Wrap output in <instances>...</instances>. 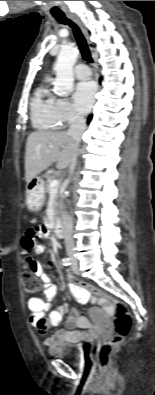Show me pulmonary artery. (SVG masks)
Wrapping results in <instances>:
<instances>
[{"instance_id": "e3ab8cb5", "label": "pulmonary artery", "mask_w": 155, "mask_h": 395, "mask_svg": "<svg viewBox=\"0 0 155 395\" xmlns=\"http://www.w3.org/2000/svg\"><path fill=\"white\" fill-rule=\"evenodd\" d=\"M74 73L79 79H88L91 75V71L89 67L83 63H80L75 66Z\"/></svg>"}]
</instances>
